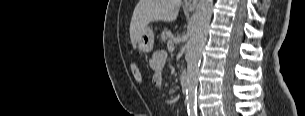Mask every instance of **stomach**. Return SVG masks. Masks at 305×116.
I'll return each mask as SVG.
<instances>
[{"label":"stomach","mask_w":305,"mask_h":116,"mask_svg":"<svg viewBox=\"0 0 305 116\" xmlns=\"http://www.w3.org/2000/svg\"><path fill=\"white\" fill-rule=\"evenodd\" d=\"M154 45V33L150 27H146L138 40V48L144 53L151 52Z\"/></svg>","instance_id":"obj_1"}]
</instances>
